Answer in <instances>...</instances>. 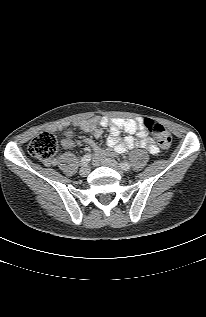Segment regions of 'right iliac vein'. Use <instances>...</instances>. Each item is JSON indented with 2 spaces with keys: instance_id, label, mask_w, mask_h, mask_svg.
<instances>
[{
  "instance_id": "63e3f726",
  "label": "right iliac vein",
  "mask_w": 206,
  "mask_h": 317,
  "mask_svg": "<svg viewBox=\"0 0 206 317\" xmlns=\"http://www.w3.org/2000/svg\"><path fill=\"white\" fill-rule=\"evenodd\" d=\"M89 172H90V168L88 165L82 166V168L79 171L80 175L83 177L87 176L89 174Z\"/></svg>"
}]
</instances>
